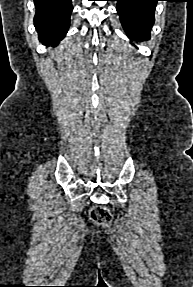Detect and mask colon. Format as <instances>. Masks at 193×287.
Returning <instances> with one entry per match:
<instances>
[{
  "instance_id": "5ec220e1",
  "label": "colon",
  "mask_w": 193,
  "mask_h": 287,
  "mask_svg": "<svg viewBox=\"0 0 193 287\" xmlns=\"http://www.w3.org/2000/svg\"><path fill=\"white\" fill-rule=\"evenodd\" d=\"M90 219L98 225L107 226L112 220V215L108 209L103 206H93L89 212Z\"/></svg>"
}]
</instances>
